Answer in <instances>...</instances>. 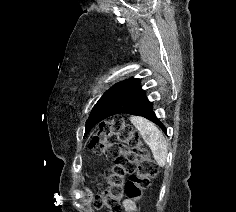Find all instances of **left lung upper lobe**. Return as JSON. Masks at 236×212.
Wrapping results in <instances>:
<instances>
[{"mask_svg": "<svg viewBox=\"0 0 236 212\" xmlns=\"http://www.w3.org/2000/svg\"><path fill=\"white\" fill-rule=\"evenodd\" d=\"M125 81H121L115 84L112 88L106 91L102 97L98 100L97 104L94 106L88 120L86 123L85 135L93 128V126L99 122V117L101 113L106 109V107L111 103L115 96L120 92Z\"/></svg>", "mask_w": 236, "mask_h": 212, "instance_id": "1", "label": "left lung upper lobe"}]
</instances>
